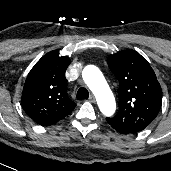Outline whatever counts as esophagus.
<instances>
[{
	"mask_svg": "<svg viewBox=\"0 0 171 171\" xmlns=\"http://www.w3.org/2000/svg\"><path fill=\"white\" fill-rule=\"evenodd\" d=\"M89 101L95 103L96 102L95 97L93 95H90Z\"/></svg>",
	"mask_w": 171,
	"mask_h": 171,
	"instance_id": "1",
	"label": "esophagus"
}]
</instances>
